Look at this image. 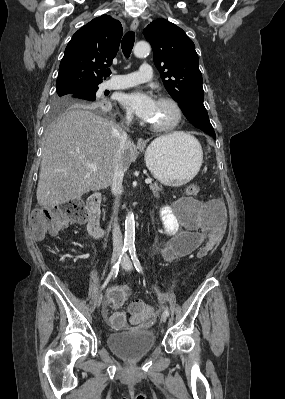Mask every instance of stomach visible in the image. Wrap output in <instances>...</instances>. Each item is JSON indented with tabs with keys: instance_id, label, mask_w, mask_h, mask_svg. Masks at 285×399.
Here are the masks:
<instances>
[{
	"instance_id": "0dacf381",
	"label": "stomach",
	"mask_w": 285,
	"mask_h": 399,
	"mask_svg": "<svg viewBox=\"0 0 285 399\" xmlns=\"http://www.w3.org/2000/svg\"><path fill=\"white\" fill-rule=\"evenodd\" d=\"M202 161L199 142L186 134L175 139L157 138L145 151L146 166L158 181L168 186L188 183L198 173Z\"/></svg>"
}]
</instances>
